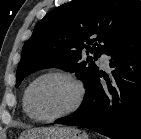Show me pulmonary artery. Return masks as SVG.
<instances>
[{
  "mask_svg": "<svg viewBox=\"0 0 141 139\" xmlns=\"http://www.w3.org/2000/svg\"><path fill=\"white\" fill-rule=\"evenodd\" d=\"M99 61L104 68L109 67V57L106 54H101Z\"/></svg>",
  "mask_w": 141,
  "mask_h": 139,
  "instance_id": "obj_1",
  "label": "pulmonary artery"
}]
</instances>
